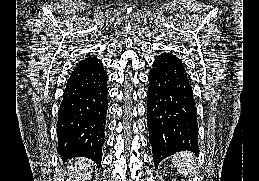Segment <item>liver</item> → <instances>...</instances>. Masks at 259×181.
<instances>
[{
  "mask_svg": "<svg viewBox=\"0 0 259 181\" xmlns=\"http://www.w3.org/2000/svg\"><path fill=\"white\" fill-rule=\"evenodd\" d=\"M92 165V161L88 159H75L69 166L67 176L70 179L67 181H88L92 175Z\"/></svg>",
  "mask_w": 259,
  "mask_h": 181,
  "instance_id": "liver-1",
  "label": "liver"
}]
</instances>
